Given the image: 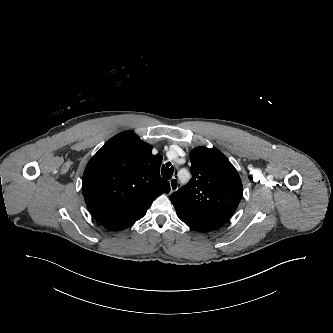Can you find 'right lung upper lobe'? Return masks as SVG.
Segmentation results:
<instances>
[{"mask_svg":"<svg viewBox=\"0 0 333 333\" xmlns=\"http://www.w3.org/2000/svg\"><path fill=\"white\" fill-rule=\"evenodd\" d=\"M162 156L129 132L109 141L88 162L82 192L91 215L105 228L118 231L141 219L154 199L169 193L160 176Z\"/></svg>","mask_w":333,"mask_h":333,"instance_id":"right-lung-upper-lobe-1","label":"right lung upper lobe"}]
</instances>
